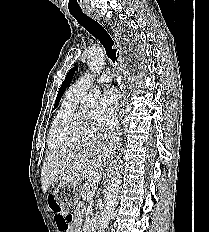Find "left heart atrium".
Masks as SVG:
<instances>
[{
    "mask_svg": "<svg viewBox=\"0 0 209 232\" xmlns=\"http://www.w3.org/2000/svg\"><path fill=\"white\" fill-rule=\"evenodd\" d=\"M118 91L113 87H108L105 89L101 97V105L104 116L111 115L117 108L119 102Z\"/></svg>",
    "mask_w": 209,
    "mask_h": 232,
    "instance_id": "left-heart-atrium-1",
    "label": "left heart atrium"
}]
</instances>
